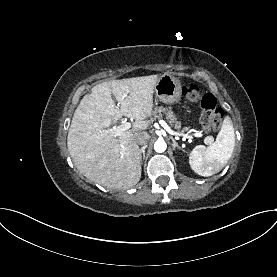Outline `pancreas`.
I'll use <instances>...</instances> for the list:
<instances>
[{"label": "pancreas", "mask_w": 277, "mask_h": 277, "mask_svg": "<svg viewBox=\"0 0 277 277\" xmlns=\"http://www.w3.org/2000/svg\"><path fill=\"white\" fill-rule=\"evenodd\" d=\"M165 115L167 121L176 129L177 131L181 130V123L178 121L177 117L174 115L173 110L171 107L165 108V107H156L155 110L152 112V120L162 117V115ZM188 128H183L181 131H187Z\"/></svg>", "instance_id": "obj_1"}]
</instances>
